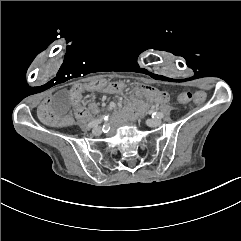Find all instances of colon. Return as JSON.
Segmentation results:
<instances>
[{"mask_svg":"<svg viewBox=\"0 0 241 241\" xmlns=\"http://www.w3.org/2000/svg\"><path fill=\"white\" fill-rule=\"evenodd\" d=\"M104 90V87L101 85L99 79H86L82 84H72L70 86V97L76 99L80 104L83 102V97L81 93H101ZM193 99L196 104L201 105L204 103V93L201 91L191 94L190 92H182L180 94L179 100L181 103L186 104L190 103ZM81 115L84 113L82 110L79 112ZM76 117L79 115L77 112L74 114Z\"/></svg>","mask_w":241,"mask_h":241,"instance_id":"1","label":"colon"}]
</instances>
